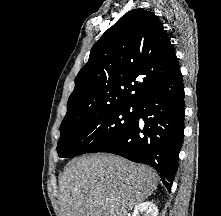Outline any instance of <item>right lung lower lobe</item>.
<instances>
[{"instance_id":"1","label":"right lung lower lobe","mask_w":221,"mask_h":216,"mask_svg":"<svg viewBox=\"0 0 221 216\" xmlns=\"http://www.w3.org/2000/svg\"><path fill=\"white\" fill-rule=\"evenodd\" d=\"M135 122L99 152L113 153L157 170L170 192L184 133L182 74L162 83L137 105ZM142 119L144 126L140 123Z\"/></svg>"}]
</instances>
